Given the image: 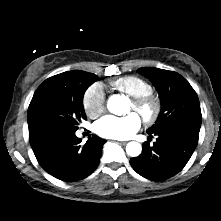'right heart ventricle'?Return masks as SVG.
<instances>
[{
    "label": "right heart ventricle",
    "mask_w": 221,
    "mask_h": 221,
    "mask_svg": "<svg viewBox=\"0 0 221 221\" xmlns=\"http://www.w3.org/2000/svg\"><path fill=\"white\" fill-rule=\"evenodd\" d=\"M112 89L125 93L131 97H140L152 93V86L144 79L130 75L110 82Z\"/></svg>",
    "instance_id": "1"
}]
</instances>
